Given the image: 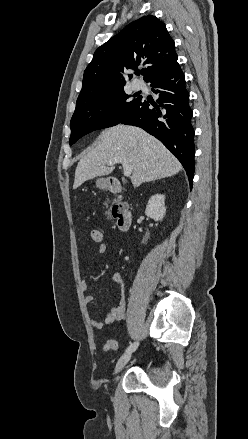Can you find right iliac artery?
<instances>
[{"instance_id":"obj_1","label":"right iliac artery","mask_w":248,"mask_h":439,"mask_svg":"<svg viewBox=\"0 0 248 439\" xmlns=\"http://www.w3.org/2000/svg\"><path fill=\"white\" fill-rule=\"evenodd\" d=\"M138 346L137 342H134L130 344V346L127 347L126 352H133Z\"/></svg>"}]
</instances>
